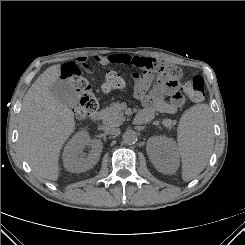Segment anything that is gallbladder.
I'll use <instances>...</instances> for the list:
<instances>
[{
  "label": "gallbladder",
  "instance_id": "obj_1",
  "mask_svg": "<svg viewBox=\"0 0 245 245\" xmlns=\"http://www.w3.org/2000/svg\"><path fill=\"white\" fill-rule=\"evenodd\" d=\"M53 96L69 108H74L79 103V94L75 87L68 81L57 80L50 87Z\"/></svg>",
  "mask_w": 245,
  "mask_h": 245
}]
</instances>
